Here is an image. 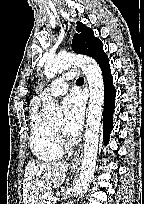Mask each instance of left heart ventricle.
<instances>
[{
	"instance_id": "1",
	"label": "left heart ventricle",
	"mask_w": 144,
	"mask_h": 204,
	"mask_svg": "<svg viewBox=\"0 0 144 204\" xmlns=\"http://www.w3.org/2000/svg\"><path fill=\"white\" fill-rule=\"evenodd\" d=\"M61 125H62V123L61 122H57L55 125H54V127H56V128H60L61 127Z\"/></svg>"
}]
</instances>
